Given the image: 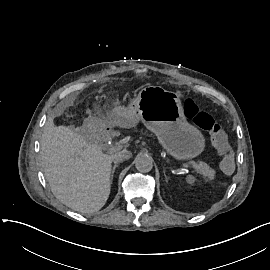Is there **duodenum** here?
Instances as JSON below:
<instances>
[{
    "label": "duodenum",
    "instance_id": "1",
    "mask_svg": "<svg viewBox=\"0 0 270 270\" xmlns=\"http://www.w3.org/2000/svg\"><path fill=\"white\" fill-rule=\"evenodd\" d=\"M113 132H114V125L110 124L105 130V135L110 136L113 134Z\"/></svg>",
    "mask_w": 270,
    "mask_h": 270
}]
</instances>
